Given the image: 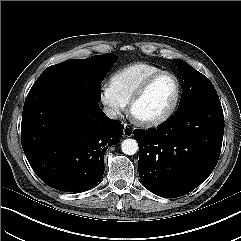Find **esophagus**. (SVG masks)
Listing matches in <instances>:
<instances>
[{
	"instance_id": "esophagus-1",
	"label": "esophagus",
	"mask_w": 241,
	"mask_h": 241,
	"mask_svg": "<svg viewBox=\"0 0 241 241\" xmlns=\"http://www.w3.org/2000/svg\"><path fill=\"white\" fill-rule=\"evenodd\" d=\"M133 135V129L128 126L127 124L124 125L123 129V136L124 137H131Z\"/></svg>"
}]
</instances>
